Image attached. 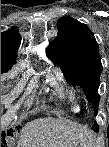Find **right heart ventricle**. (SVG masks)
<instances>
[{
  "label": "right heart ventricle",
  "instance_id": "e07e8e85",
  "mask_svg": "<svg viewBox=\"0 0 109 147\" xmlns=\"http://www.w3.org/2000/svg\"><path fill=\"white\" fill-rule=\"evenodd\" d=\"M71 99L73 100L74 103V110L76 112L80 111V104L78 98L75 96L74 93H71Z\"/></svg>",
  "mask_w": 109,
  "mask_h": 147
}]
</instances>
